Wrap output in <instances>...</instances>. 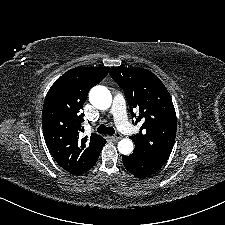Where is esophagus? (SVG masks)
Masks as SVG:
<instances>
[{
	"instance_id": "1",
	"label": "esophagus",
	"mask_w": 225,
	"mask_h": 225,
	"mask_svg": "<svg viewBox=\"0 0 225 225\" xmlns=\"http://www.w3.org/2000/svg\"><path fill=\"white\" fill-rule=\"evenodd\" d=\"M120 138H121V134H120V133H116L115 135L110 136V139H111L112 141H117V140H119Z\"/></svg>"
}]
</instances>
